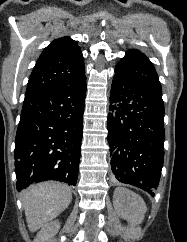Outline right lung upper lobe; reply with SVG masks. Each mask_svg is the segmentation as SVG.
Here are the masks:
<instances>
[{
  "instance_id": "obj_1",
  "label": "right lung upper lobe",
  "mask_w": 187,
  "mask_h": 242,
  "mask_svg": "<svg viewBox=\"0 0 187 242\" xmlns=\"http://www.w3.org/2000/svg\"><path fill=\"white\" fill-rule=\"evenodd\" d=\"M84 74V58L76 41L69 37L56 39L41 53L30 75L25 96L67 86Z\"/></svg>"
}]
</instances>
